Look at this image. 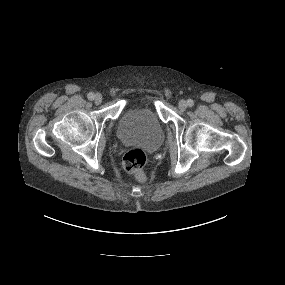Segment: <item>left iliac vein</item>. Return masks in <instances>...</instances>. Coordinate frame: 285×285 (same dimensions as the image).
Wrapping results in <instances>:
<instances>
[{
  "mask_svg": "<svg viewBox=\"0 0 285 285\" xmlns=\"http://www.w3.org/2000/svg\"><path fill=\"white\" fill-rule=\"evenodd\" d=\"M178 108H179L181 111L186 110V108H187V103H186V101H184V100L179 101V103H178Z\"/></svg>",
  "mask_w": 285,
  "mask_h": 285,
  "instance_id": "obj_1",
  "label": "left iliac vein"
}]
</instances>
